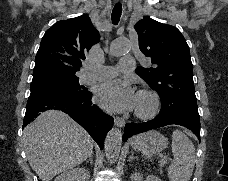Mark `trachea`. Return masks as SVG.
Here are the masks:
<instances>
[{
	"label": "trachea",
	"instance_id": "obj_1",
	"mask_svg": "<svg viewBox=\"0 0 228 181\" xmlns=\"http://www.w3.org/2000/svg\"><path fill=\"white\" fill-rule=\"evenodd\" d=\"M122 13V5L120 2H117L115 6L113 7L112 14H111V20L113 25H118Z\"/></svg>",
	"mask_w": 228,
	"mask_h": 181
}]
</instances>
